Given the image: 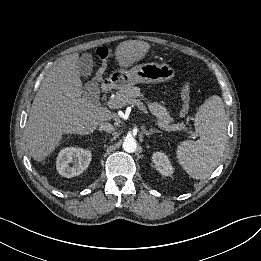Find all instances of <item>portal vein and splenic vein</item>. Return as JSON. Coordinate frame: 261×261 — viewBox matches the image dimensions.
<instances>
[{
	"label": "portal vein and splenic vein",
	"instance_id": "1",
	"mask_svg": "<svg viewBox=\"0 0 261 261\" xmlns=\"http://www.w3.org/2000/svg\"><path fill=\"white\" fill-rule=\"evenodd\" d=\"M107 105L110 108H122L124 105L116 99H110L107 101ZM139 110H141L144 114L148 115V111L144 104L138 100H135L134 104ZM172 130H179L178 126H174Z\"/></svg>",
	"mask_w": 261,
	"mask_h": 261
}]
</instances>
